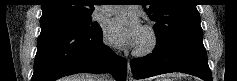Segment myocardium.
<instances>
[{
    "label": "myocardium",
    "mask_w": 237,
    "mask_h": 81,
    "mask_svg": "<svg viewBox=\"0 0 237 81\" xmlns=\"http://www.w3.org/2000/svg\"><path fill=\"white\" fill-rule=\"evenodd\" d=\"M143 34L146 38V43L141 47H136L134 54L139 57H144L152 53L158 44V36L156 31L151 26H145Z\"/></svg>",
    "instance_id": "obj_1"
}]
</instances>
